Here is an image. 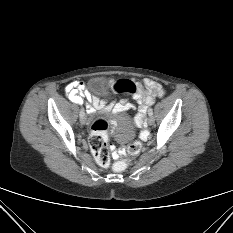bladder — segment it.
<instances>
[{"label": "bladder", "mask_w": 233, "mask_h": 233, "mask_svg": "<svg viewBox=\"0 0 233 233\" xmlns=\"http://www.w3.org/2000/svg\"><path fill=\"white\" fill-rule=\"evenodd\" d=\"M90 90L96 94H104L108 92V83L102 77L93 78L90 81Z\"/></svg>", "instance_id": "bladder-1"}]
</instances>
